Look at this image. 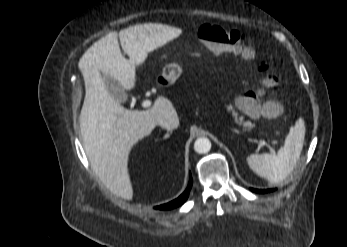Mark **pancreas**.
Listing matches in <instances>:
<instances>
[{"label": "pancreas", "mask_w": 347, "mask_h": 247, "mask_svg": "<svg viewBox=\"0 0 347 247\" xmlns=\"http://www.w3.org/2000/svg\"><path fill=\"white\" fill-rule=\"evenodd\" d=\"M226 108H227V110L229 111V112H232V115H233V117L236 119V120H238V113L235 111V109H234V107L232 106V105H227L226 106ZM241 124H242V122H240ZM248 126H250V125H248Z\"/></svg>", "instance_id": "obj_1"}]
</instances>
